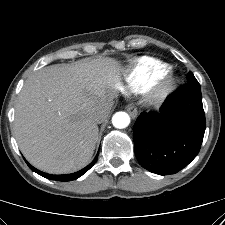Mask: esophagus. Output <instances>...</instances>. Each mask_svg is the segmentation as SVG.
I'll return each instance as SVG.
<instances>
[{"label":"esophagus","mask_w":225,"mask_h":225,"mask_svg":"<svg viewBox=\"0 0 225 225\" xmlns=\"http://www.w3.org/2000/svg\"><path fill=\"white\" fill-rule=\"evenodd\" d=\"M126 110L132 118L137 117V109L132 105H127Z\"/></svg>","instance_id":"34e87169"}]
</instances>
